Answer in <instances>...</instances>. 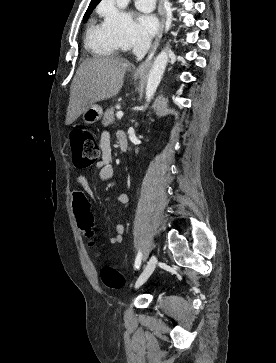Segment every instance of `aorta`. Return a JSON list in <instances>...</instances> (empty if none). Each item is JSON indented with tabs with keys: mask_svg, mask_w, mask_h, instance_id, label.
Listing matches in <instances>:
<instances>
[{
	"mask_svg": "<svg viewBox=\"0 0 276 363\" xmlns=\"http://www.w3.org/2000/svg\"><path fill=\"white\" fill-rule=\"evenodd\" d=\"M129 2L130 0H116V5L120 9H125L128 6ZM167 63H168V52L166 49H163L155 58L153 65L149 71L146 84L147 104L144 107H142V110H144L147 107L148 103L153 98L157 90V87L161 82Z\"/></svg>",
	"mask_w": 276,
	"mask_h": 363,
	"instance_id": "obj_1",
	"label": "aorta"
}]
</instances>
